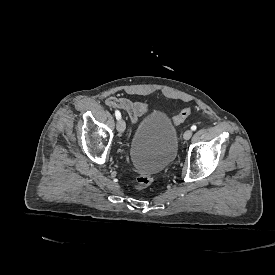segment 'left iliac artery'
<instances>
[{"mask_svg":"<svg viewBox=\"0 0 275 275\" xmlns=\"http://www.w3.org/2000/svg\"><path fill=\"white\" fill-rule=\"evenodd\" d=\"M197 129V127L195 126V125H193L192 127H191V130H193V131H195Z\"/></svg>","mask_w":275,"mask_h":275,"instance_id":"1","label":"left iliac artery"}]
</instances>
